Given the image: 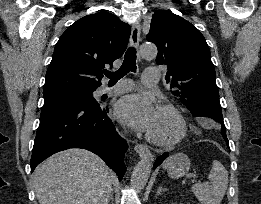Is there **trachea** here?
<instances>
[{
    "instance_id": "1",
    "label": "trachea",
    "mask_w": 261,
    "mask_h": 204,
    "mask_svg": "<svg viewBox=\"0 0 261 204\" xmlns=\"http://www.w3.org/2000/svg\"><path fill=\"white\" fill-rule=\"evenodd\" d=\"M136 49L129 47L125 53L122 66L116 72H105V76L110 79V84H115L119 79L124 77L127 73L136 72Z\"/></svg>"
}]
</instances>
